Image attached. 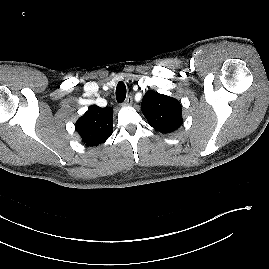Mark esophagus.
<instances>
[{"mask_svg":"<svg viewBox=\"0 0 269 269\" xmlns=\"http://www.w3.org/2000/svg\"><path fill=\"white\" fill-rule=\"evenodd\" d=\"M132 102H133V98L131 96H128L122 105L129 106L132 104Z\"/></svg>","mask_w":269,"mask_h":269,"instance_id":"esophagus-1","label":"esophagus"}]
</instances>
